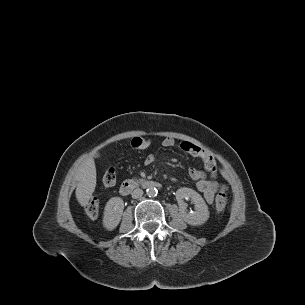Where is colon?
<instances>
[{"mask_svg": "<svg viewBox=\"0 0 305 305\" xmlns=\"http://www.w3.org/2000/svg\"><path fill=\"white\" fill-rule=\"evenodd\" d=\"M151 140L145 137H135L131 140V147L136 151H143L149 148ZM117 175L114 169H109L103 176L102 182L105 187H112L115 185ZM227 203V190L224 185L220 187V190L215 199V210L222 212ZM86 215L90 219H97L99 215V203L96 198H93L85 209Z\"/></svg>", "mask_w": 305, "mask_h": 305, "instance_id": "1", "label": "colon"}]
</instances>
